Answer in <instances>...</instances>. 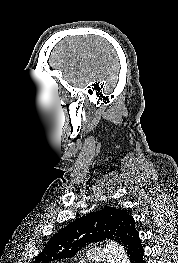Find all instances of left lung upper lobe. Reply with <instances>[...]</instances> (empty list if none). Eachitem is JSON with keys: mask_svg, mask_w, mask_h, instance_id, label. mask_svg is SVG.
<instances>
[{"mask_svg": "<svg viewBox=\"0 0 178 263\" xmlns=\"http://www.w3.org/2000/svg\"><path fill=\"white\" fill-rule=\"evenodd\" d=\"M130 217L125 210L112 207L86 214L51 237L34 263H50L74 257L91 242L110 238L119 243L124 226Z\"/></svg>", "mask_w": 178, "mask_h": 263, "instance_id": "1", "label": "left lung upper lobe"}]
</instances>
